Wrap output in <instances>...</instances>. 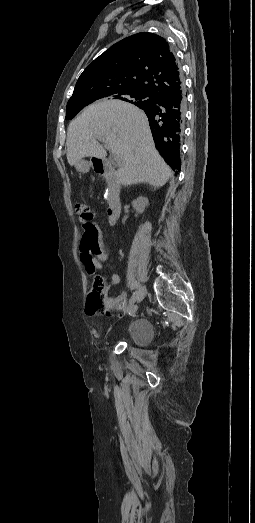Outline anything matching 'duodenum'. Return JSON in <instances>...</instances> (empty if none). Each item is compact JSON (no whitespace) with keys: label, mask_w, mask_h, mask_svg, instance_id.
<instances>
[{"label":"duodenum","mask_w":255,"mask_h":523,"mask_svg":"<svg viewBox=\"0 0 255 523\" xmlns=\"http://www.w3.org/2000/svg\"><path fill=\"white\" fill-rule=\"evenodd\" d=\"M90 162L92 169L98 175L106 179L107 219L110 225H115L122 208L120 199V179L117 173V168L112 162L100 157H92Z\"/></svg>","instance_id":"410a0bca"}]
</instances>
